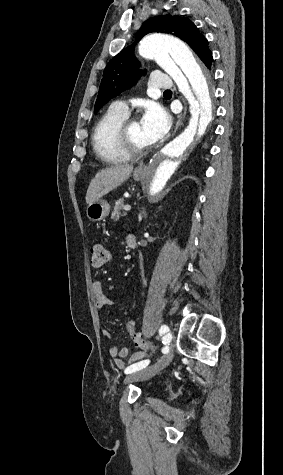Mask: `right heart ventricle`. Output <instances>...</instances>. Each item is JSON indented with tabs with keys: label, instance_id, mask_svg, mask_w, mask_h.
<instances>
[{
	"label": "right heart ventricle",
	"instance_id": "obj_1",
	"mask_svg": "<svg viewBox=\"0 0 283 475\" xmlns=\"http://www.w3.org/2000/svg\"><path fill=\"white\" fill-rule=\"evenodd\" d=\"M127 117L128 110L117 107L114 104L110 105L99 117L92 132V145L97 154L103 145H107L108 150V147L115 143L116 130Z\"/></svg>",
	"mask_w": 283,
	"mask_h": 475
}]
</instances>
